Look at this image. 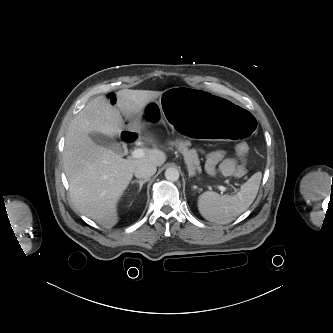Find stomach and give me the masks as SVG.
Masks as SVG:
<instances>
[{
	"instance_id": "obj_1",
	"label": "stomach",
	"mask_w": 333,
	"mask_h": 333,
	"mask_svg": "<svg viewBox=\"0 0 333 333\" xmlns=\"http://www.w3.org/2000/svg\"><path fill=\"white\" fill-rule=\"evenodd\" d=\"M143 114L137 111L127 117L128 130L142 120V125H163L168 121L191 138L242 143L252 137L256 120L249 108L229 103L215 93L189 86L162 92L159 102L147 101Z\"/></svg>"
}]
</instances>
